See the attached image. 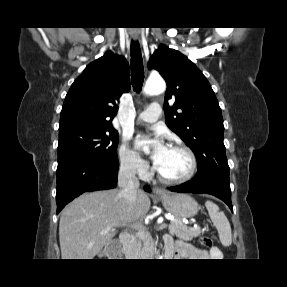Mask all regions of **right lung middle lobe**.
<instances>
[{
	"label": "right lung middle lobe",
	"instance_id": "obj_1",
	"mask_svg": "<svg viewBox=\"0 0 287 287\" xmlns=\"http://www.w3.org/2000/svg\"><path fill=\"white\" fill-rule=\"evenodd\" d=\"M118 132L113 127L76 123L59 129L58 166L76 160L119 166Z\"/></svg>",
	"mask_w": 287,
	"mask_h": 287
}]
</instances>
